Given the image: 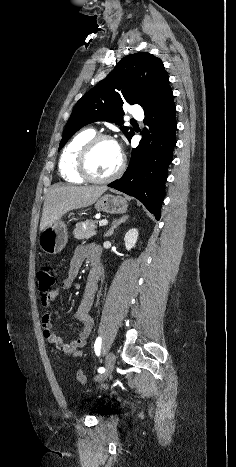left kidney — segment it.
<instances>
[{"label":"left kidney","mask_w":236,"mask_h":467,"mask_svg":"<svg viewBox=\"0 0 236 467\" xmlns=\"http://www.w3.org/2000/svg\"><path fill=\"white\" fill-rule=\"evenodd\" d=\"M137 239H138V230L137 229H130L126 235H125V238H124V241H125V247L126 249L129 251L131 250L136 242H137Z\"/></svg>","instance_id":"obj_1"}]
</instances>
